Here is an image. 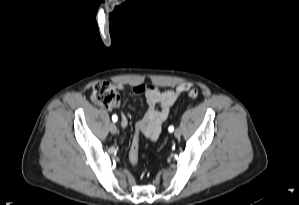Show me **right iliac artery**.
I'll return each mask as SVG.
<instances>
[{
  "label": "right iliac artery",
  "instance_id": "1",
  "mask_svg": "<svg viewBox=\"0 0 299 205\" xmlns=\"http://www.w3.org/2000/svg\"><path fill=\"white\" fill-rule=\"evenodd\" d=\"M112 120H113V122H116L118 120V117L116 115H113Z\"/></svg>",
  "mask_w": 299,
  "mask_h": 205
}]
</instances>
